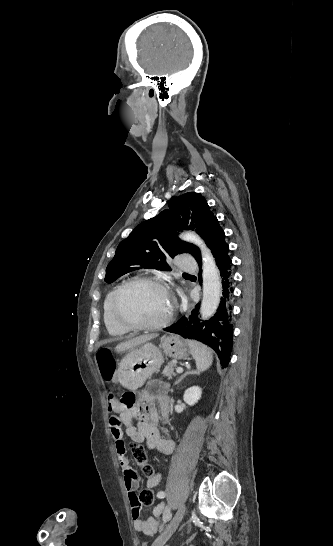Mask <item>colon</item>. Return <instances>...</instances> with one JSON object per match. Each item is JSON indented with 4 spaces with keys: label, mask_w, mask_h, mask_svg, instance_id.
<instances>
[{
    "label": "colon",
    "mask_w": 333,
    "mask_h": 546,
    "mask_svg": "<svg viewBox=\"0 0 333 546\" xmlns=\"http://www.w3.org/2000/svg\"><path fill=\"white\" fill-rule=\"evenodd\" d=\"M97 362L103 377L106 380L111 379V371L114 370V364L110 358L108 350L103 349L97 353ZM113 399V397H111ZM121 404L127 407H133L137 403V398L134 393L125 394L121 400ZM132 453L137 464L141 467L143 473L147 477L154 475V469L152 465L148 463L147 453L143 445L135 443L132 447ZM155 502V493L152 489L147 488L141 491L138 496V503L140 506H151Z\"/></svg>",
    "instance_id": "colon-1"
}]
</instances>
